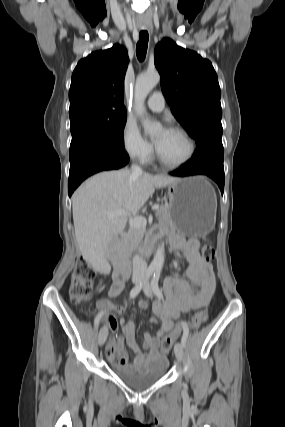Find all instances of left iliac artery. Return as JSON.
I'll use <instances>...</instances> for the list:
<instances>
[{"label": "left iliac artery", "mask_w": 285, "mask_h": 427, "mask_svg": "<svg viewBox=\"0 0 285 427\" xmlns=\"http://www.w3.org/2000/svg\"><path fill=\"white\" fill-rule=\"evenodd\" d=\"M159 277H160V269L157 268L156 271H155V273H154V275H153L152 281H151V287H152V290L155 293V295L158 298H162L163 295H162V292H161V290L159 289V286H158ZM187 338H188V334H187L186 331H184L183 336L181 338V344H182L183 347H185V345H186Z\"/></svg>", "instance_id": "44dca946"}]
</instances>
